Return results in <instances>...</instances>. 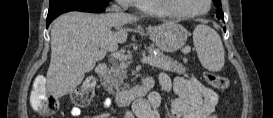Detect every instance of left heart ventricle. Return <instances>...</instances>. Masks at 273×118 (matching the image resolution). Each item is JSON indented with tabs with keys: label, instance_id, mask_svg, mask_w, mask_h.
<instances>
[{
	"label": "left heart ventricle",
	"instance_id": "obj_1",
	"mask_svg": "<svg viewBox=\"0 0 273 118\" xmlns=\"http://www.w3.org/2000/svg\"><path fill=\"white\" fill-rule=\"evenodd\" d=\"M177 3L186 12H198L206 8L205 0H177Z\"/></svg>",
	"mask_w": 273,
	"mask_h": 118
}]
</instances>
